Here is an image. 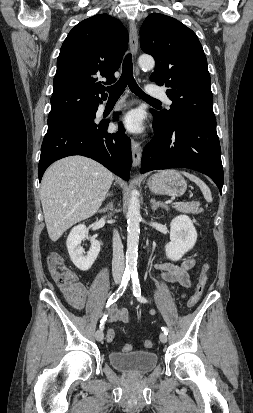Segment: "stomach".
<instances>
[{
	"mask_svg": "<svg viewBox=\"0 0 253 413\" xmlns=\"http://www.w3.org/2000/svg\"><path fill=\"white\" fill-rule=\"evenodd\" d=\"M147 185L152 192L169 196H181L187 189V181L176 170H163L153 174Z\"/></svg>",
	"mask_w": 253,
	"mask_h": 413,
	"instance_id": "obj_1",
	"label": "stomach"
}]
</instances>
